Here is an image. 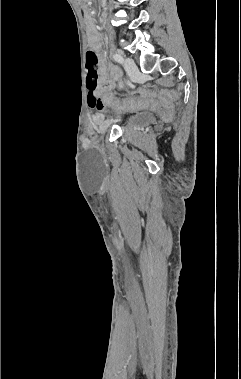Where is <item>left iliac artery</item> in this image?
I'll return each instance as SVG.
<instances>
[{
    "instance_id": "44dca946",
    "label": "left iliac artery",
    "mask_w": 241,
    "mask_h": 379,
    "mask_svg": "<svg viewBox=\"0 0 241 379\" xmlns=\"http://www.w3.org/2000/svg\"><path fill=\"white\" fill-rule=\"evenodd\" d=\"M113 58H114V60L117 61L118 63H122V62H123V57H122V55L119 54V53H115V54L113 55Z\"/></svg>"
}]
</instances>
